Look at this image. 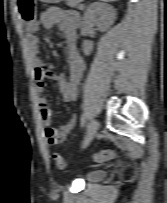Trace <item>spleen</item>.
<instances>
[{
  "instance_id": "1",
  "label": "spleen",
  "mask_w": 167,
  "mask_h": 203,
  "mask_svg": "<svg viewBox=\"0 0 167 203\" xmlns=\"http://www.w3.org/2000/svg\"><path fill=\"white\" fill-rule=\"evenodd\" d=\"M102 1H105V2H114V1H117V0H102Z\"/></svg>"
}]
</instances>
